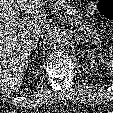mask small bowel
Instances as JSON below:
<instances>
[{
  "instance_id": "c3829d8e",
  "label": "small bowel",
  "mask_w": 113,
  "mask_h": 113,
  "mask_svg": "<svg viewBox=\"0 0 113 113\" xmlns=\"http://www.w3.org/2000/svg\"><path fill=\"white\" fill-rule=\"evenodd\" d=\"M93 10H94L93 4H89L88 7H87V11H88L89 13H92Z\"/></svg>"
}]
</instances>
